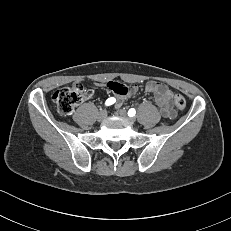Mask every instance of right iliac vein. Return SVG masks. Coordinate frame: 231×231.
<instances>
[{
  "mask_svg": "<svg viewBox=\"0 0 231 231\" xmlns=\"http://www.w3.org/2000/svg\"><path fill=\"white\" fill-rule=\"evenodd\" d=\"M107 117V111L103 110L98 114V121H103Z\"/></svg>",
  "mask_w": 231,
  "mask_h": 231,
  "instance_id": "right-iliac-vein-1",
  "label": "right iliac vein"
}]
</instances>
